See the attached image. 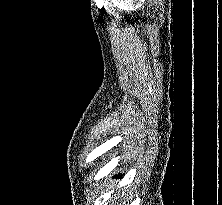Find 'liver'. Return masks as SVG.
Listing matches in <instances>:
<instances>
[{"instance_id":"obj_1","label":"liver","mask_w":222,"mask_h":205,"mask_svg":"<svg viewBox=\"0 0 222 205\" xmlns=\"http://www.w3.org/2000/svg\"><path fill=\"white\" fill-rule=\"evenodd\" d=\"M124 189L118 190L109 200V205H126V200L123 198ZM121 198V200H119ZM108 205V204H107Z\"/></svg>"}]
</instances>
